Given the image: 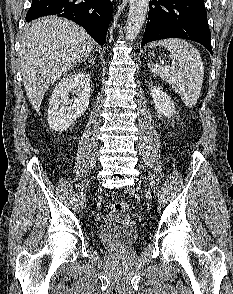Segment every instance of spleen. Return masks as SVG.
Masks as SVG:
<instances>
[{"label":"spleen","mask_w":233,"mask_h":294,"mask_svg":"<svg viewBox=\"0 0 233 294\" xmlns=\"http://www.w3.org/2000/svg\"><path fill=\"white\" fill-rule=\"evenodd\" d=\"M163 46L170 52L169 57L176 63L177 68L148 63L151 71L172 86L188 108H193L200 96L204 66L200 52L189 42L170 38L152 42L149 48Z\"/></svg>","instance_id":"obj_1"}]
</instances>
